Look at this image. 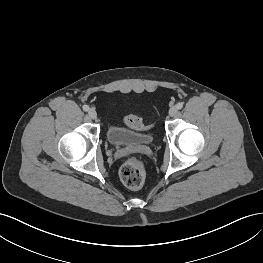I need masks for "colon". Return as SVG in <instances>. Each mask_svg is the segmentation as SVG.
Returning <instances> with one entry per match:
<instances>
[{"label": "colon", "instance_id": "5ec220e1", "mask_svg": "<svg viewBox=\"0 0 263 263\" xmlns=\"http://www.w3.org/2000/svg\"><path fill=\"white\" fill-rule=\"evenodd\" d=\"M126 123L138 130L146 129L140 118L131 115L126 117ZM120 179L129 188L136 189L142 186L145 179V165L142 159L136 156L128 157L121 165L119 171Z\"/></svg>", "mask_w": 263, "mask_h": 263}]
</instances>
